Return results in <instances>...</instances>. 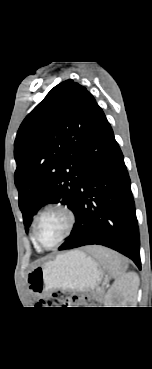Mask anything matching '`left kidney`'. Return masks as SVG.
<instances>
[{"label":"left kidney","mask_w":152,"mask_h":369,"mask_svg":"<svg viewBox=\"0 0 152 369\" xmlns=\"http://www.w3.org/2000/svg\"><path fill=\"white\" fill-rule=\"evenodd\" d=\"M136 274H128L125 277V282L128 284L135 283L136 282ZM126 297V292L121 289L120 286H114L112 287L107 294L105 295V307H121V304H124L122 300Z\"/></svg>","instance_id":"1"}]
</instances>
